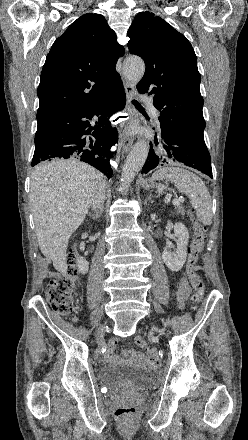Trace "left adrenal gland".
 I'll return each mask as SVG.
<instances>
[{
    "instance_id": "left-adrenal-gland-1",
    "label": "left adrenal gland",
    "mask_w": 248,
    "mask_h": 440,
    "mask_svg": "<svg viewBox=\"0 0 248 440\" xmlns=\"http://www.w3.org/2000/svg\"><path fill=\"white\" fill-rule=\"evenodd\" d=\"M147 201H151V197H147L145 204L147 203ZM152 202V201H151Z\"/></svg>"
}]
</instances>
